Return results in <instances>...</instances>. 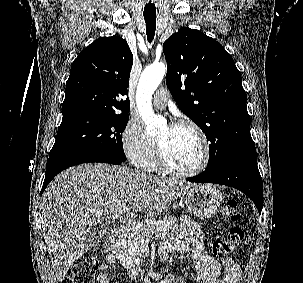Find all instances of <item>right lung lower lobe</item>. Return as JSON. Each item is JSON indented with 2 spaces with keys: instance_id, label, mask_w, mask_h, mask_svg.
Segmentation results:
<instances>
[{
  "instance_id": "right-lung-lower-lobe-1",
  "label": "right lung lower lobe",
  "mask_w": 303,
  "mask_h": 283,
  "mask_svg": "<svg viewBox=\"0 0 303 283\" xmlns=\"http://www.w3.org/2000/svg\"><path fill=\"white\" fill-rule=\"evenodd\" d=\"M89 162H102L118 165L123 163L124 161L114 157L103 156L98 154H68L49 158L47 162L46 175L42 186L41 194L43 193L49 182L59 172L71 166Z\"/></svg>"
}]
</instances>
